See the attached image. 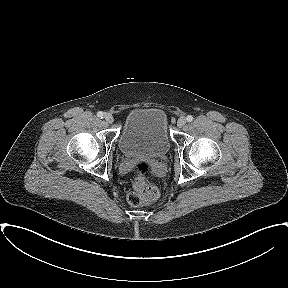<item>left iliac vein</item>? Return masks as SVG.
I'll return each instance as SVG.
<instances>
[{
  "label": "left iliac vein",
  "instance_id": "obj_1",
  "mask_svg": "<svg viewBox=\"0 0 288 288\" xmlns=\"http://www.w3.org/2000/svg\"><path fill=\"white\" fill-rule=\"evenodd\" d=\"M186 124V118L185 117H180L177 121V125L179 127H183Z\"/></svg>",
  "mask_w": 288,
  "mask_h": 288
}]
</instances>
